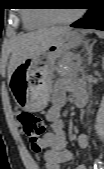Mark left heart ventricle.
Listing matches in <instances>:
<instances>
[{
    "mask_svg": "<svg viewBox=\"0 0 104 169\" xmlns=\"http://www.w3.org/2000/svg\"><path fill=\"white\" fill-rule=\"evenodd\" d=\"M74 12H75L74 9H63V10H57V11H55V14L58 17L67 18V17L72 16Z\"/></svg>",
    "mask_w": 104,
    "mask_h": 169,
    "instance_id": "obj_1",
    "label": "left heart ventricle"
}]
</instances>
